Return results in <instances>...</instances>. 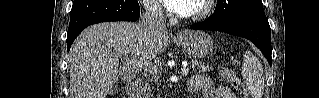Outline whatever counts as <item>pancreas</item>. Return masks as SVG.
<instances>
[{
	"mask_svg": "<svg viewBox=\"0 0 319 98\" xmlns=\"http://www.w3.org/2000/svg\"><path fill=\"white\" fill-rule=\"evenodd\" d=\"M190 64L192 70L196 73H208L213 70V68L205 65L202 61L192 60ZM142 91L146 94H150L152 92V86L148 82H145L142 86Z\"/></svg>",
	"mask_w": 319,
	"mask_h": 98,
	"instance_id": "pancreas-1",
	"label": "pancreas"
}]
</instances>
